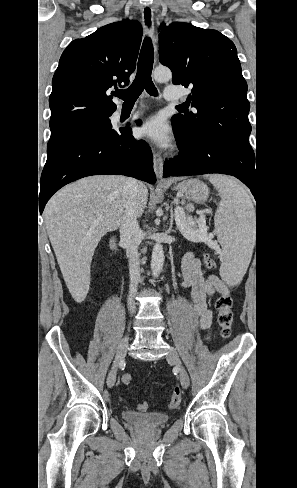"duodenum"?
<instances>
[{
	"label": "duodenum",
	"mask_w": 297,
	"mask_h": 488,
	"mask_svg": "<svg viewBox=\"0 0 297 488\" xmlns=\"http://www.w3.org/2000/svg\"><path fill=\"white\" fill-rule=\"evenodd\" d=\"M111 247H112L113 249H115V250L117 249V243H116V239H112V241H111Z\"/></svg>",
	"instance_id": "duodenum-1"
}]
</instances>
